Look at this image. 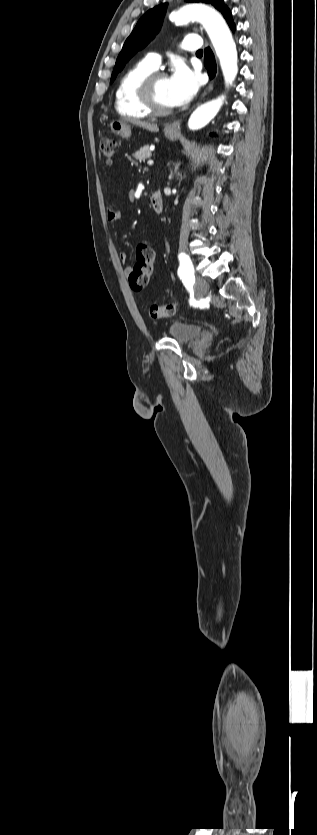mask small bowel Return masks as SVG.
Masks as SVG:
<instances>
[{
    "label": "small bowel",
    "mask_w": 317,
    "mask_h": 835,
    "mask_svg": "<svg viewBox=\"0 0 317 835\" xmlns=\"http://www.w3.org/2000/svg\"><path fill=\"white\" fill-rule=\"evenodd\" d=\"M106 215L107 220L110 223H117L118 221H120L121 218L120 212L112 206L108 207ZM127 258V254L125 252H120L119 259L122 263H125L127 261ZM154 258L155 249L153 243L150 240L142 241L137 247L136 259H144L153 263ZM131 270L132 269L129 268V271Z\"/></svg>",
    "instance_id": "obj_1"
}]
</instances>
